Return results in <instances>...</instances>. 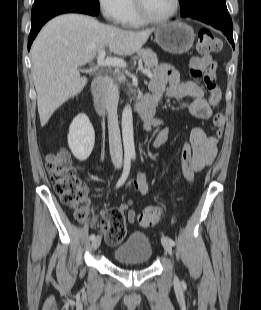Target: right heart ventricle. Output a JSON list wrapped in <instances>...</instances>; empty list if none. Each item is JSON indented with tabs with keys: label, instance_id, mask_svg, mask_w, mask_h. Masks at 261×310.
<instances>
[{
	"label": "right heart ventricle",
	"instance_id": "1",
	"mask_svg": "<svg viewBox=\"0 0 261 310\" xmlns=\"http://www.w3.org/2000/svg\"><path fill=\"white\" fill-rule=\"evenodd\" d=\"M121 24L128 28H138L144 24L136 13L133 0H129V9Z\"/></svg>",
	"mask_w": 261,
	"mask_h": 310
}]
</instances>
